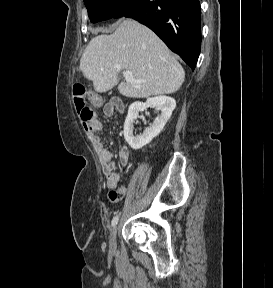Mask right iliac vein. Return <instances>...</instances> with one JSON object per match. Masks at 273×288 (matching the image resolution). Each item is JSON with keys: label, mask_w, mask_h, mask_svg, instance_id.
Returning a JSON list of instances; mask_svg holds the SVG:
<instances>
[{"label": "right iliac vein", "mask_w": 273, "mask_h": 288, "mask_svg": "<svg viewBox=\"0 0 273 288\" xmlns=\"http://www.w3.org/2000/svg\"><path fill=\"white\" fill-rule=\"evenodd\" d=\"M118 226H115L109 235V246L111 249L116 247V236H117Z\"/></svg>", "instance_id": "obj_1"}]
</instances>
